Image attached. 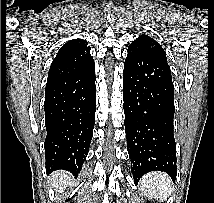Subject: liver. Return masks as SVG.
Instances as JSON below:
<instances>
[{"mask_svg": "<svg viewBox=\"0 0 214 203\" xmlns=\"http://www.w3.org/2000/svg\"><path fill=\"white\" fill-rule=\"evenodd\" d=\"M70 181V174L64 171L54 172L51 175V185L55 191L61 192L64 188L68 187Z\"/></svg>", "mask_w": 214, "mask_h": 203, "instance_id": "6515ba94", "label": "liver"}]
</instances>
